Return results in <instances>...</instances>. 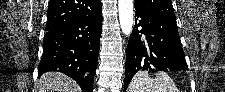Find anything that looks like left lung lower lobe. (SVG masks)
Returning <instances> with one entry per match:
<instances>
[{"label":"left lung lower lobe","mask_w":225,"mask_h":92,"mask_svg":"<svg viewBox=\"0 0 225 92\" xmlns=\"http://www.w3.org/2000/svg\"><path fill=\"white\" fill-rule=\"evenodd\" d=\"M135 16V26L127 45L124 91L139 70L188 69L176 22L137 9ZM139 26L141 30H138Z\"/></svg>","instance_id":"left-lung-lower-lobe-1"}]
</instances>
